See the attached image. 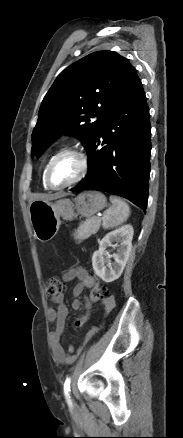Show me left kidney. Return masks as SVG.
<instances>
[{
  "instance_id": "5707ae66",
  "label": "left kidney",
  "mask_w": 183,
  "mask_h": 438,
  "mask_svg": "<svg viewBox=\"0 0 183 438\" xmlns=\"http://www.w3.org/2000/svg\"><path fill=\"white\" fill-rule=\"evenodd\" d=\"M134 230L128 224L106 234L102 239L99 249L92 256V265L95 274L104 282L110 283L118 279L129 259L132 248ZM112 242L120 243V245H112ZM108 246L118 247L117 253L109 256L106 249ZM110 257H113L115 262H110Z\"/></svg>"
}]
</instances>
